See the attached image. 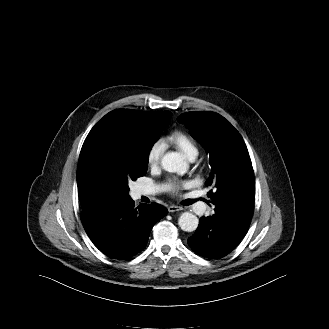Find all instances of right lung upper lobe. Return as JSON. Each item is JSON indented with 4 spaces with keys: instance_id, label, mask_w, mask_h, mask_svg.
<instances>
[{
    "instance_id": "right-lung-upper-lobe-1",
    "label": "right lung upper lobe",
    "mask_w": 329,
    "mask_h": 329,
    "mask_svg": "<svg viewBox=\"0 0 329 329\" xmlns=\"http://www.w3.org/2000/svg\"><path fill=\"white\" fill-rule=\"evenodd\" d=\"M169 111H137L130 109H117L106 114L90 131L81 149L80 157L84 156L89 150L96 148L102 143L107 136V132L103 129L105 122L109 119H118L125 127L130 130L144 131L159 119L171 118ZM79 157V158H80Z\"/></svg>"
}]
</instances>
